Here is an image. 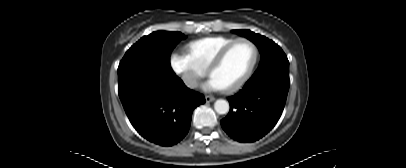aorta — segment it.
I'll return each mask as SVG.
<instances>
[{"label":"aorta","mask_w":406,"mask_h":168,"mask_svg":"<svg viewBox=\"0 0 406 168\" xmlns=\"http://www.w3.org/2000/svg\"><path fill=\"white\" fill-rule=\"evenodd\" d=\"M214 109L218 114H226L229 111V103L224 99H218L214 103Z\"/></svg>","instance_id":"aorta-1"}]
</instances>
